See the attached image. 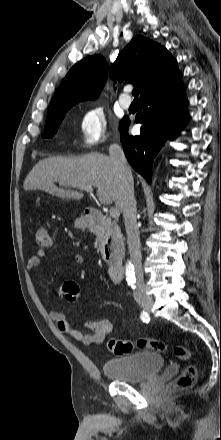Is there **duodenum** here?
Returning a JSON list of instances; mask_svg holds the SVG:
<instances>
[{
  "instance_id": "obj_1",
  "label": "duodenum",
  "mask_w": 221,
  "mask_h": 440,
  "mask_svg": "<svg viewBox=\"0 0 221 440\" xmlns=\"http://www.w3.org/2000/svg\"><path fill=\"white\" fill-rule=\"evenodd\" d=\"M86 218L91 229L101 228L105 224L104 216L100 212L95 210L87 212ZM107 259L112 262L108 270L111 280L115 282L121 281L124 277V267L114 261L112 258H109L108 256Z\"/></svg>"
}]
</instances>
